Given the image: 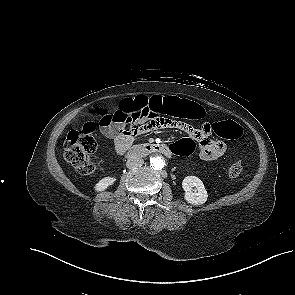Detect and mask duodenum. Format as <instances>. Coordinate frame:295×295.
<instances>
[{
  "instance_id": "1",
  "label": "duodenum",
  "mask_w": 295,
  "mask_h": 295,
  "mask_svg": "<svg viewBox=\"0 0 295 295\" xmlns=\"http://www.w3.org/2000/svg\"><path fill=\"white\" fill-rule=\"evenodd\" d=\"M151 152H159L165 156H172L173 153L168 152L167 145L161 143H144L138 144L129 149L127 152L128 157H140Z\"/></svg>"
}]
</instances>
